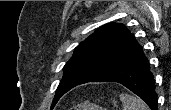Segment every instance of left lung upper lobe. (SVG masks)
Listing matches in <instances>:
<instances>
[{"label": "left lung upper lobe", "mask_w": 171, "mask_h": 110, "mask_svg": "<svg viewBox=\"0 0 171 110\" xmlns=\"http://www.w3.org/2000/svg\"><path fill=\"white\" fill-rule=\"evenodd\" d=\"M140 47L123 24L109 23L98 28L75 48L73 56L63 67L64 75L51 108L71 88L87 83L120 64Z\"/></svg>", "instance_id": "5c2ea615"}]
</instances>
